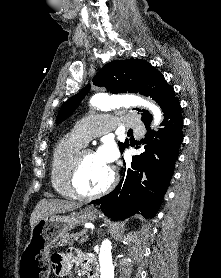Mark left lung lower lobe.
I'll return each instance as SVG.
<instances>
[{"instance_id": "0a47b994", "label": "left lung lower lobe", "mask_w": 221, "mask_h": 278, "mask_svg": "<svg viewBox=\"0 0 221 278\" xmlns=\"http://www.w3.org/2000/svg\"><path fill=\"white\" fill-rule=\"evenodd\" d=\"M147 134L143 143L145 152L133 156L131 167L125 171L118 186L108 195L92 201L115 220L134 214L154 217L174 173V164L183 141V118L179 100L164 112L163 128L150 131V122H144Z\"/></svg>"}]
</instances>
